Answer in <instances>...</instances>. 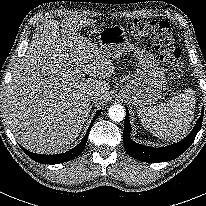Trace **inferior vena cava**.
I'll return each mask as SVG.
<instances>
[{"label":"inferior vena cava","instance_id":"inferior-vena-cava-1","mask_svg":"<svg viewBox=\"0 0 206 206\" xmlns=\"http://www.w3.org/2000/svg\"><path fill=\"white\" fill-rule=\"evenodd\" d=\"M88 97H89V101L90 102H94L95 103V102L100 100V97H99L98 94L90 93Z\"/></svg>","mask_w":206,"mask_h":206}]
</instances>
